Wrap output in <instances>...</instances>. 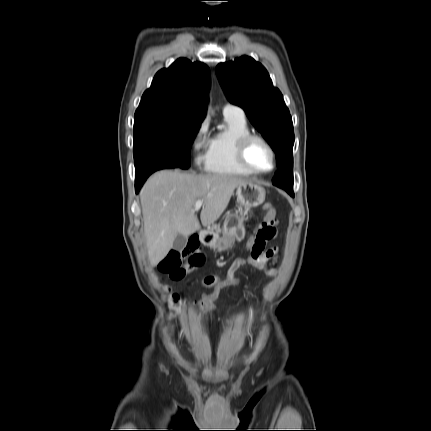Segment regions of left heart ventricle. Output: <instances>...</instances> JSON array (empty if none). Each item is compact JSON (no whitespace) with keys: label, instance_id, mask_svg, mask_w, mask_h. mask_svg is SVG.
I'll use <instances>...</instances> for the list:
<instances>
[{"label":"left heart ventricle","instance_id":"obj_1","mask_svg":"<svg viewBox=\"0 0 431 431\" xmlns=\"http://www.w3.org/2000/svg\"><path fill=\"white\" fill-rule=\"evenodd\" d=\"M248 162L259 170H268L272 166V157L267 147L260 141H252L246 152Z\"/></svg>","mask_w":431,"mask_h":431}]
</instances>
